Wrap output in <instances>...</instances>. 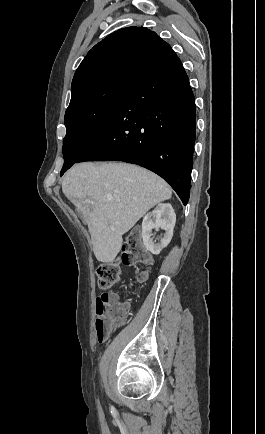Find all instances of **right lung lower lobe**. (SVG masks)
Instances as JSON below:
<instances>
[{"label": "right lung lower lobe", "instance_id": "obj_1", "mask_svg": "<svg viewBox=\"0 0 265 434\" xmlns=\"http://www.w3.org/2000/svg\"><path fill=\"white\" fill-rule=\"evenodd\" d=\"M196 105L172 50L135 75L108 126L76 162L124 161L165 179L186 205L190 193Z\"/></svg>", "mask_w": 265, "mask_h": 434}]
</instances>
